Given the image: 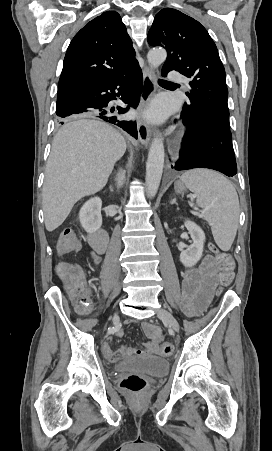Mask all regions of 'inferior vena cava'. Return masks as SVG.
Instances as JSON below:
<instances>
[{
  "mask_svg": "<svg viewBox=\"0 0 272 451\" xmlns=\"http://www.w3.org/2000/svg\"><path fill=\"white\" fill-rule=\"evenodd\" d=\"M123 180H124V172H120V174H118V178H117V182H118L119 186H122Z\"/></svg>",
  "mask_w": 272,
  "mask_h": 451,
  "instance_id": "602c4592",
  "label": "inferior vena cava"
}]
</instances>
